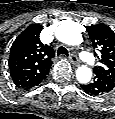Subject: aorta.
Segmentation results:
<instances>
[{"instance_id":"aorta-1","label":"aorta","mask_w":115,"mask_h":119,"mask_svg":"<svg viewBox=\"0 0 115 119\" xmlns=\"http://www.w3.org/2000/svg\"><path fill=\"white\" fill-rule=\"evenodd\" d=\"M56 38L68 45H80L83 42L81 33L71 24L62 23L55 31ZM92 77V70L86 65L80 66L76 71L77 80L82 83H88Z\"/></svg>"}]
</instances>
